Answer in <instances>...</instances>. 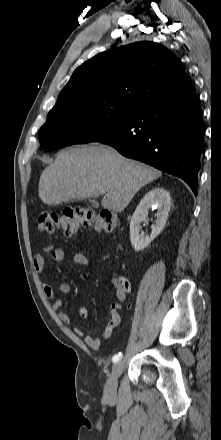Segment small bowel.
Listing matches in <instances>:
<instances>
[{"label": "small bowel", "instance_id": "small-bowel-1", "mask_svg": "<svg viewBox=\"0 0 221 440\" xmlns=\"http://www.w3.org/2000/svg\"><path fill=\"white\" fill-rule=\"evenodd\" d=\"M44 252L52 253V258L56 262H62L65 259V251L61 247L54 248L53 245H46L44 247ZM73 260L76 264L89 267L90 261L89 259L82 253H76L73 257ZM33 268L36 273L41 274L45 269V258L42 253H36L33 257ZM88 277V272H84L82 274V279H86ZM113 285L115 287V295L117 301L110 305V320L103 330L100 337H96L92 334H87L84 336V341L88 347L93 350L99 349L101 345V341L103 339H107L111 336L113 330L120 324V310L122 309V302L126 299V293L122 291L119 287L118 280H113ZM42 289L44 294L52 300V309L58 312V318L63 324H70L71 318L65 313L59 311L62 306V297L68 295L72 291V287L67 282H62L59 284L57 291L53 289L51 285L48 283H42ZM79 315L82 319H86L88 317V310L84 305H81L79 308ZM74 333L77 336H83V330L80 327H74Z\"/></svg>", "mask_w": 221, "mask_h": 440}]
</instances>
